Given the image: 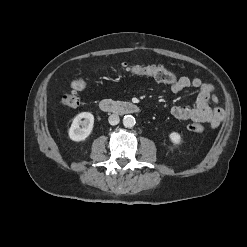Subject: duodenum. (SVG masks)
I'll return each instance as SVG.
<instances>
[{
  "instance_id": "1",
  "label": "duodenum",
  "mask_w": 247,
  "mask_h": 247,
  "mask_svg": "<svg viewBox=\"0 0 247 247\" xmlns=\"http://www.w3.org/2000/svg\"><path fill=\"white\" fill-rule=\"evenodd\" d=\"M100 109L104 112L116 113V114H134L139 112L137 105L130 102L115 101L111 99H103L100 104Z\"/></svg>"
}]
</instances>
